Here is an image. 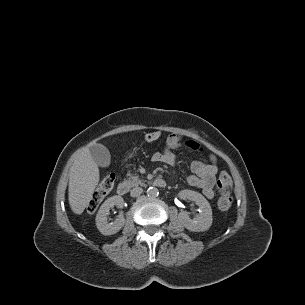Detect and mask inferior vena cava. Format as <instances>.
<instances>
[{"mask_svg": "<svg viewBox=\"0 0 305 305\" xmlns=\"http://www.w3.org/2000/svg\"><path fill=\"white\" fill-rule=\"evenodd\" d=\"M143 192V189L141 187H135L130 191V195L132 197H137Z\"/></svg>", "mask_w": 305, "mask_h": 305, "instance_id": "602c4592", "label": "inferior vena cava"}]
</instances>
